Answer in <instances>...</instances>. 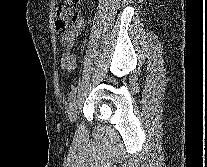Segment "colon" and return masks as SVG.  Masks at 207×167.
<instances>
[{"label": "colon", "mask_w": 207, "mask_h": 167, "mask_svg": "<svg viewBox=\"0 0 207 167\" xmlns=\"http://www.w3.org/2000/svg\"><path fill=\"white\" fill-rule=\"evenodd\" d=\"M78 0H63L57 10L56 27L62 40L72 44L79 33Z\"/></svg>", "instance_id": "obj_1"}]
</instances>
